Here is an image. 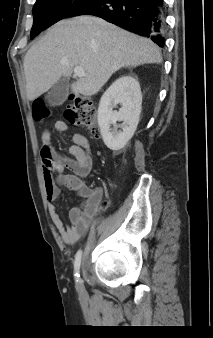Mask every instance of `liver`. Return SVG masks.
Returning <instances> with one entry per match:
<instances>
[{
  "mask_svg": "<svg viewBox=\"0 0 213 338\" xmlns=\"http://www.w3.org/2000/svg\"><path fill=\"white\" fill-rule=\"evenodd\" d=\"M159 47L150 39L93 16L62 20L34 44L24 58L26 93L32 101L60 78L82 67L86 76L71 85L75 95L92 96L124 67L159 64Z\"/></svg>",
  "mask_w": 213,
  "mask_h": 338,
  "instance_id": "obj_1",
  "label": "liver"
}]
</instances>
